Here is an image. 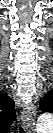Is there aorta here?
<instances>
[{
  "instance_id": "762f6f07",
  "label": "aorta",
  "mask_w": 53,
  "mask_h": 133,
  "mask_svg": "<svg viewBox=\"0 0 53 133\" xmlns=\"http://www.w3.org/2000/svg\"><path fill=\"white\" fill-rule=\"evenodd\" d=\"M52 127V115L50 113L42 114L38 119L37 128L41 130L50 129Z\"/></svg>"
}]
</instances>
